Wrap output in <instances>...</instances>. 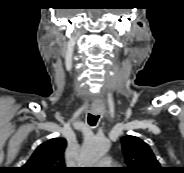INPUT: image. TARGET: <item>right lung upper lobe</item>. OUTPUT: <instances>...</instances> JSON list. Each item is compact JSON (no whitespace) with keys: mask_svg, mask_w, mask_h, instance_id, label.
I'll use <instances>...</instances> for the list:
<instances>
[{"mask_svg":"<svg viewBox=\"0 0 184 173\" xmlns=\"http://www.w3.org/2000/svg\"><path fill=\"white\" fill-rule=\"evenodd\" d=\"M66 140L53 138L42 143L20 168L22 173H67L64 165Z\"/></svg>","mask_w":184,"mask_h":173,"instance_id":"1","label":"right lung upper lobe"}]
</instances>
